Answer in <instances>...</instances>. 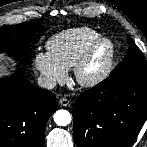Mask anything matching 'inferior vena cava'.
<instances>
[{"label":"inferior vena cava","mask_w":147,"mask_h":147,"mask_svg":"<svg viewBox=\"0 0 147 147\" xmlns=\"http://www.w3.org/2000/svg\"><path fill=\"white\" fill-rule=\"evenodd\" d=\"M37 82L40 87L46 89H53L56 86V82L46 76H39Z\"/></svg>","instance_id":"1"}]
</instances>
